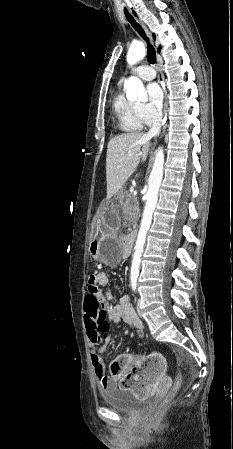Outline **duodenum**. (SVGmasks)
Masks as SVG:
<instances>
[{
    "instance_id": "1",
    "label": "duodenum",
    "mask_w": 233,
    "mask_h": 449,
    "mask_svg": "<svg viewBox=\"0 0 233 449\" xmlns=\"http://www.w3.org/2000/svg\"><path fill=\"white\" fill-rule=\"evenodd\" d=\"M135 237H136V233L132 232L128 236H126L124 239V248H125V251L127 254H129L133 249V246L135 243Z\"/></svg>"
}]
</instances>
